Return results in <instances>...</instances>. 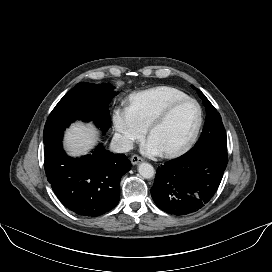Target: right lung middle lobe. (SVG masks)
Listing matches in <instances>:
<instances>
[{
	"mask_svg": "<svg viewBox=\"0 0 272 272\" xmlns=\"http://www.w3.org/2000/svg\"><path fill=\"white\" fill-rule=\"evenodd\" d=\"M109 84L80 82L58 102L50 113L43 133L44 144L60 135L74 121H93L101 129L110 127L108 105L117 93Z\"/></svg>",
	"mask_w": 272,
	"mask_h": 272,
	"instance_id": "obj_1",
	"label": "right lung middle lobe"
}]
</instances>
